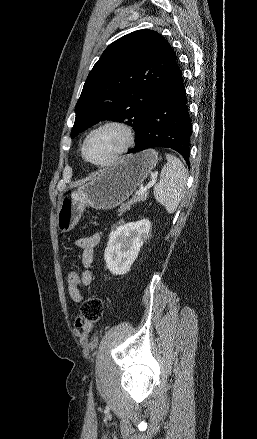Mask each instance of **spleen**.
Listing matches in <instances>:
<instances>
[{
  "label": "spleen",
  "instance_id": "obj_1",
  "mask_svg": "<svg viewBox=\"0 0 257 439\" xmlns=\"http://www.w3.org/2000/svg\"><path fill=\"white\" fill-rule=\"evenodd\" d=\"M166 159L167 163L161 170L160 181L154 186V197L169 214H172L176 211L184 194L187 171L174 155L167 153Z\"/></svg>",
  "mask_w": 257,
  "mask_h": 439
}]
</instances>
